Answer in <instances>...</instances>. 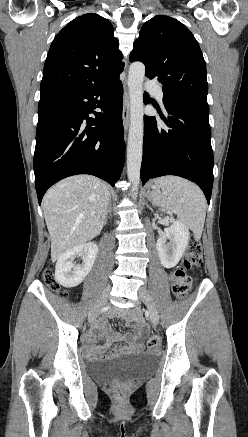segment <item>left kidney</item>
<instances>
[{"label":"left kidney","instance_id":"5707ae66","mask_svg":"<svg viewBox=\"0 0 248 437\" xmlns=\"http://www.w3.org/2000/svg\"><path fill=\"white\" fill-rule=\"evenodd\" d=\"M189 237V230L179 221L173 222L164 230V234L157 240L156 249L165 268H173L178 264L188 245Z\"/></svg>","mask_w":248,"mask_h":437}]
</instances>
